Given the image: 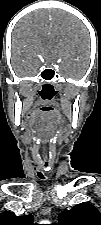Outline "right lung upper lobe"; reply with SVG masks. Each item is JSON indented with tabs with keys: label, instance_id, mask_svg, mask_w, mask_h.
Returning a JSON list of instances; mask_svg holds the SVG:
<instances>
[{
	"label": "right lung upper lobe",
	"instance_id": "obj_1",
	"mask_svg": "<svg viewBox=\"0 0 101 225\" xmlns=\"http://www.w3.org/2000/svg\"><path fill=\"white\" fill-rule=\"evenodd\" d=\"M0 225H35L31 214L16 216L13 212L6 211L0 214Z\"/></svg>",
	"mask_w": 101,
	"mask_h": 225
}]
</instances>
